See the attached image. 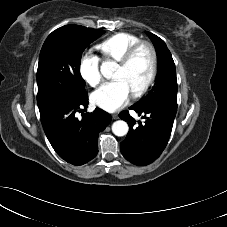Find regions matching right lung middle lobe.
Instances as JSON below:
<instances>
[{
  "label": "right lung middle lobe",
  "mask_w": 227,
  "mask_h": 227,
  "mask_svg": "<svg viewBox=\"0 0 227 227\" xmlns=\"http://www.w3.org/2000/svg\"><path fill=\"white\" fill-rule=\"evenodd\" d=\"M103 33L102 29L65 25L47 37L37 70L39 110L60 102L76 101L86 94L85 81L80 74L81 55Z\"/></svg>",
  "instance_id": "right-lung-middle-lobe-1"
}]
</instances>
